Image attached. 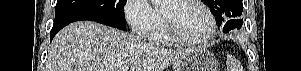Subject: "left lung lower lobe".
<instances>
[{
  "instance_id": "0a47b994",
  "label": "left lung lower lobe",
  "mask_w": 301,
  "mask_h": 71,
  "mask_svg": "<svg viewBox=\"0 0 301 71\" xmlns=\"http://www.w3.org/2000/svg\"><path fill=\"white\" fill-rule=\"evenodd\" d=\"M242 25H243L242 19H239V18L231 19V20L227 21L226 24L224 25L223 32L227 33L234 28L240 29Z\"/></svg>"
}]
</instances>
